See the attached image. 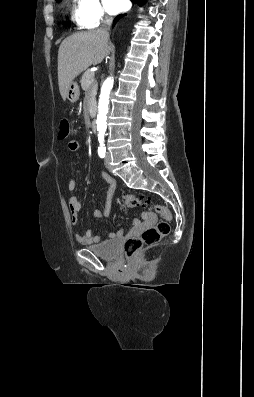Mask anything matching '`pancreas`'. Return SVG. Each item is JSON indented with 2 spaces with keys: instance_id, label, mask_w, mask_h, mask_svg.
<instances>
[{
  "instance_id": "obj_1",
  "label": "pancreas",
  "mask_w": 254,
  "mask_h": 397,
  "mask_svg": "<svg viewBox=\"0 0 254 397\" xmlns=\"http://www.w3.org/2000/svg\"><path fill=\"white\" fill-rule=\"evenodd\" d=\"M95 73L89 70L85 71L80 79L81 87L85 91L90 104V114L94 115L96 105L97 82L94 79Z\"/></svg>"
}]
</instances>
